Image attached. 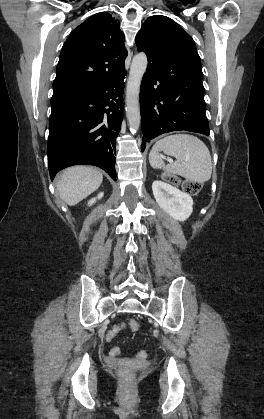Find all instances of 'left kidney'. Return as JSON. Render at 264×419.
<instances>
[{
	"mask_svg": "<svg viewBox=\"0 0 264 419\" xmlns=\"http://www.w3.org/2000/svg\"><path fill=\"white\" fill-rule=\"evenodd\" d=\"M152 191L157 204L172 218L179 221L189 218L193 211L190 195L160 180L152 183Z\"/></svg>",
	"mask_w": 264,
	"mask_h": 419,
	"instance_id": "obj_1",
	"label": "left kidney"
}]
</instances>
